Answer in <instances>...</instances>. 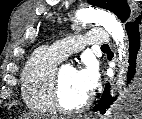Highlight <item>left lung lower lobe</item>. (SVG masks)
<instances>
[{
    "label": "left lung lower lobe",
    "mask_w": 142,
    "mask_h": 119,
    "mask_svg": "<svg viewBox=\"0 0 142 119\" xmlns=\"http://www.w3.org/2000/svg\"><path fill=\"white\" fill-rule=\"evenodd\" d=\"M142 14L125 25L129 38V69L128 81L130 86L126 95V105L136 108L142 104ZM117 97L110 96V86L107 83L99 104L94 107L95 111L105 113Z\"/></svg>",
    "instance_id": "left-lung-lower-lobe-1"
}]
</instances>
